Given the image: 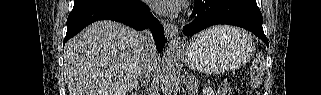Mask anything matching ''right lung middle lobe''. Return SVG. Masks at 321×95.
I'll return each mask as SVG.
<instances>
[{"instance_id":"obj_1","label":"right lung middle lobe","mask_w":321,"mask_h":95,"mask_svg":"<svg viewBox=\"0 0 321 95\" xmlns=\"http://www.w3.org/2000/svg\"><path fill=\"white\" fill-rule=\"evenodd\" d=\"M133 1L134 0H75L73 8L107 3H132Z\"/></svg>"}]
</instances>
